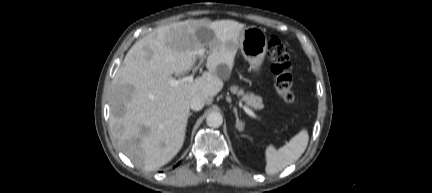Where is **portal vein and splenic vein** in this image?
I'll return each mask as SVG.
<instances>
[{"label":"portal vein and splenic vein","instance_id":"obj_1","mask_svg":"<svg viewBox=\"0 0 432 193\" xmlns=\"http://www.w3.org/2000/svg\"><path fill=\"white\" fill-rule=\"evenodd\" d=\"M204 53H205V49H199L198 54L200 57V62L198 64V66L196 67L195 72L200 68V66L202 65V63L204 61ZM195 72L193 74H191V75H189L183 79H179V80H177L175 78H170V79H168V83L172 87H178L182 82H193ZM243 109L249 116H251L253 118L256 117L255 113L251 109H249L248 107L244 106Z\"/></svg>","mask_w":432,"mask_h":193}]
</instances>
